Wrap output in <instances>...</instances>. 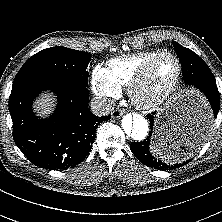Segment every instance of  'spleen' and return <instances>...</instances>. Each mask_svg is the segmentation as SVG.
Masks as SVG:
<instances>
[{
  "label": "spleen",
  "instance_id": "1",
  "mask_svg": "<svg viewBox=\"0 0 222 222\" xmlns=\"http://www.w3.org/2000/svg\"><path fill=\"white\" fill-rule=\"evenodd\" d=\"M150 149L157 158L167 163H177L186 158L183 153L166 152V148H163L160 144L154 143V141Z\"/></svg>",
  "mask_w": 222,
  "mask_h": 222
}]
</instances>
